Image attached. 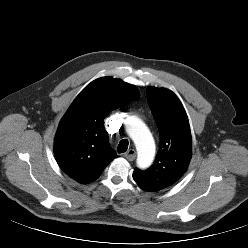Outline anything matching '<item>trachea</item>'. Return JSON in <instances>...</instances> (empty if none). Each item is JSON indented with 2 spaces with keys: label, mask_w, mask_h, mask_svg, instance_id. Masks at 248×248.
Listing matches in <instances>:
<instances>
[{
  "label": "trachea",
  "mask_w": 248,
  "mask_h": 248,
  "mask_svg": "<svg viewBox=\"0 0 248 248\" xmlns=\"http://www.w3.org/2000/svg\"><path fill=\"white\" fill-rule=\"evenodd\" d=\"M128 145H129L128 140L127 139H122L118 144V148H117L118 153L126 152L127 149H128Z\"/></svg>",
  "instance_id": "obj_1"
}]
</instances>
